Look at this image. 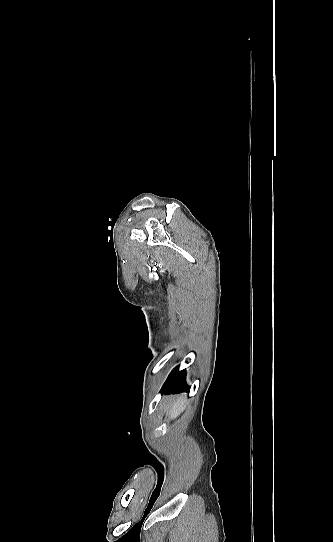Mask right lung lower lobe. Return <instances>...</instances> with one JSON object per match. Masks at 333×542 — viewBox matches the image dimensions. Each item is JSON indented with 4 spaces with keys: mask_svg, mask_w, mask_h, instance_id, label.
Masks as SVG:
<instances>
[{
    "mask_svg": "<svg viewBox=\"0 0 333 542\" xmlns=\"http://www.w3.org/2000/svg\"><path fill=\"white\" fill-rule=\"evenodd\" d=\"M185 371H179V368L176 367L168 376L166 382L164 383L161 391L163 392L164 389L166 390L165 393L171 392V391H188L189 387L184 388L185 385Z\"/></svg>",
    "mask_w": 333,
    "mask_h": 542,
    "instance_id": "right-lung-lower-lobe-1",
    "label": "right lung lower lobe"
}]
</instances>
